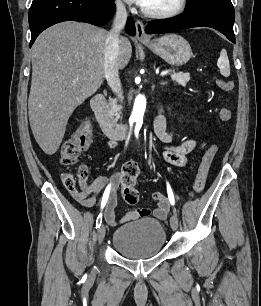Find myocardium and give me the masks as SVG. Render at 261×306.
<instances>
[{
	"instance_id": "obj_1",
	"label": "myocardium",
	"mask_w": 261,
	"mask_h": 306,
	"mask_svg": "<svg viewBox=\"0 0 261 306\" xmlns=\"http://www.w3.org/2000/svg\"><path fill=\"white\" fill-rule=\"evenodd\" d=\"M187 3L188 0H178L174 8L165 11H153L142 6L141 11L147 17L157 18V19H167L181 14L185 10Z\"/></svg>"
}]
</instances>
